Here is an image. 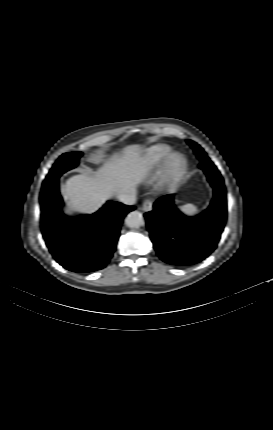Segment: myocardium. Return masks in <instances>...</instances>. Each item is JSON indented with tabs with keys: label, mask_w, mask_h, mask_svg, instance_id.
Returning <instances> with one entry per match:
<instances>
[{
	"label": "myocardium",
	"mask_w": 273,
	"mask_h": 430,
	"mask_svg": "<svg viewBox=\"0 0 273 430\" xmlns=\"http://www.w3.org/2000/svg\"><path fill=\"white\" fill-rule=\"evenodd\" d=\"M186 168L187 162L181 154H171L165 162L162 175L163 180L166 183H172L179 180L185 173Z\"/></svg>",
	"instance_id": "1"
}]
</instances>
